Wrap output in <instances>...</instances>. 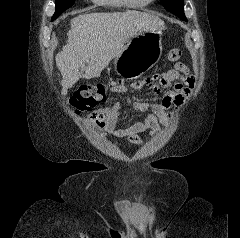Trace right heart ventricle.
<instances>
[{"label": "right heart ventricle", "mask_w": 240, "mask_h": 238, "mask_svg": "<svg viewBox=\"0 0 240 238\" xmlns=\"http://www.w3.org/2000/svg\"><path fill=\"white\" fill-rule=\"evenodd\" d=\"M93 1L97 4L107 6V7H110V8H115V9L129 7L122 0H93ZM141 6L142 5L138 4L134 7H141Z\"/></svg>", "instance_id": "right-heart-ventricle-1"}]
</instances>
